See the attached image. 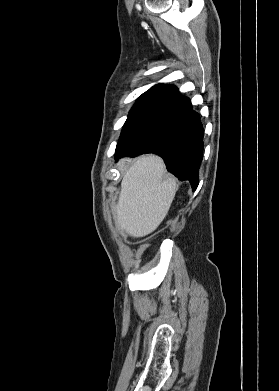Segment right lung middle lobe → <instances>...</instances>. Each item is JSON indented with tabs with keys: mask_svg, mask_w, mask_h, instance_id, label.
<instances>
[{
	"mask_svg": "<svg viewBox=\"0 0 279 391\" xmlns=\"http://www.w3.org/2000/svg\"><path fill=\"white\" fill-rule=\"evenodd\" d=\"M161 112V109H132L123 126L116 149L126 145L143 132Z\"/></svg>",
	"mask_w": 279,
	"mask_h": 391,
	"instance_id": "dd1d6c3e",
	"label": "right lung middle lobe"
}]
</instances>
